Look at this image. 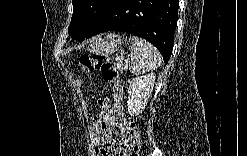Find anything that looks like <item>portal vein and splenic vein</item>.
Returning <instances> with one entry per match:
<instances>
[{"label":"portal vein and splenic vein","mask_w":247,"mask_h":156,"mask_svg":"<svg viewBox=\"0 0 247 156\" xmlns=\"http://www.w3.org/2000/svg\"><path fill=\"white\" fill-rule=\"evenodd\" d=\"M125 68H128V63L126 62Z\"/></svg>","instance_id":"obj_1"}]
</instances>
